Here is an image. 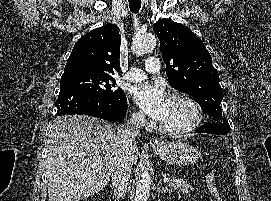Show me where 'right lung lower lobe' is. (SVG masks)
Wrapping results in <instances>:
<instances>
[{
	"instance_id": "right-lung-lower-lobe-1",
	"label": "right lung lower lobe",
	"mask_w": 271,
	"mask_h": 201,
	"mask_svg": "<svg viewBox=\"0 0 271 201\" xmlns=\"http://www.w3.org/2000/svg\"><path fill=\"white\" fill-rule=\"evenodd\" d=\"M57 114H85L111 121H122L126 116L127 98L124 93L103 97L90 94H59L55 102Z\"/></svg>"
}]
</instances>
